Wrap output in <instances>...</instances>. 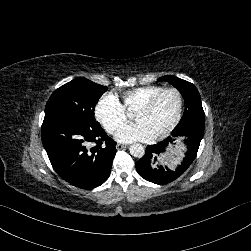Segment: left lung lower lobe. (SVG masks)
<instances>
[{
  "label": "left lung lower lobe",
  "mask_w": 251,
  "mask_h": 251,
  "mask_svg": "<svg viewBox=\"0 0 251 251\" xmlns=\"http://www.w3.org/2000/svg\"><path fill=\"white\" fill-rule=\"evenodd\" d=\"M171 135V137L156 145H148L145 155L136 162V170L145 180L164 185L180 177L194 161L204 135V129L191 127L175 128ZM174 137L184 138L183 142L186 146V152L181 163L175 169H169L167 166L159 165L157 157L166 151L167 146Z\"/></svg>",
  "instance_id": "0a47b994"
}]
</instances>
